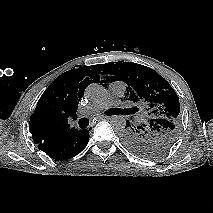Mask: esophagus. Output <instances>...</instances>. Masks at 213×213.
I'll list each match as a JSON object with an SVG mask.
<instances>
[{"label": "esophagus", "instance_id": "1", "mask_svg": "<svg viewBox=\"0 0 213 213\" xmlns=\"http://www.w3.org/2000/svg\"><path fill=\"white\" fill-rule=\"evenodd\" d=\"M104 118H107V117L104 116V115L97 116V119H98V120H101V119H104ZM89 128H90V127H89Z\"/></svg>", "mask_w": 213, "mask_h": 213}]
</instances>
